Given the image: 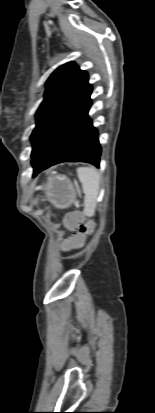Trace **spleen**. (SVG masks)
<instances>
[{
  "mask_svg": "<svg viewBox=\"0 0 155 413\" xmlns=\"http://www.w3.org/2000/svg\"><path fill=\"white\" fill-rule=\"evenodd\" d=\"M77 174L85 194L84 214L88 217H92L95 214L101 176L93 167H79L77 169Z\"/></svg>",
  "mask_w": 155,
  "mask_h": 413,
  "instance_id": "3e777b00",
  "label": "spleen"
}]
</instances>
